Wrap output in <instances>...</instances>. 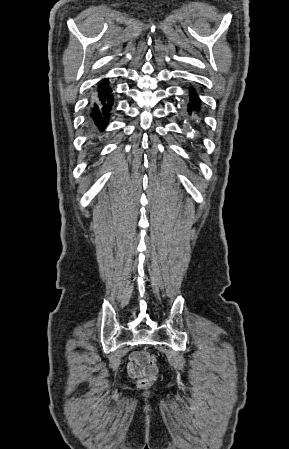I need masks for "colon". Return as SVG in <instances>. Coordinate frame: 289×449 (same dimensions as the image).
<instances>
[{"instance_id": "1", "label": "colon", "mask_w": 289, "mask_h": 449, "mask_svg": "<svg viewBox=\"0 0 289 449\" xmlns=\"http://www.w3.org/2000/svg\"><path fill=\"white\" fill-rule=\"evenodd\" d=\"M146 360L150 365H153V366H155L156 361H157L156 356L151 353L146 354ZM155 378H156V373H151L144 377L139 378L137 383L140 387L146 388L153 384V382L155 381Z\"/></svg>"}]
</instances>
